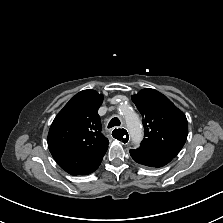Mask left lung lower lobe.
<instances>
[{"label":"left lung lower lobe","mask_w":223,"mask_h":223,"mask_svg":"<svg viewBox=\"0 0 223 223\" xmlns=\"http://www.w3.org/2000/svg\"><path fill=\"white\" fill-rule=\"evenodd\" d=\"M130 154L135 162L155 168L166 165L173 158L170 155L141 146L137 149H131Z\"/></svg>","instance_id":"left-lung-lower-lobe-1"}]
</instances>
